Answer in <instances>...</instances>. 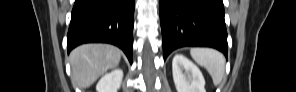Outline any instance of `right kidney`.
Returning <instances> with one entry per match:
<instances>
[{
  "instance_id": "1",
  "label": "right kidney",
  "mask_w": 296,
  "mask_h": 92,
  "mask_svg": "<svg viewBox=\"0 0 296 92\" xmlns=\"http://www.w3.org/2000/svg\"><path fill=\"white\" fill-rule=\"evenodd\" d=\"M123 71L114 69L110 73L105 74L97 83V92H117L121 86Z\"/></svg>"
}]
</instances>
